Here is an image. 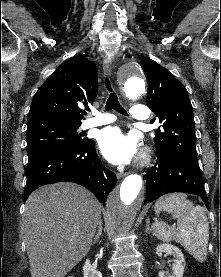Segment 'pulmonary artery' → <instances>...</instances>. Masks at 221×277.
Wrapping results in <instances>:
<instances>
[{
    "label": "pulmonary artery",
    "mask_w": 221,
    "mask_h": 277,
    "mask_svg": "<svg viewBox=\"0 0 221 277\" xmlns=\"http://www.w3.org/2000/svg\"><path fill=\"white\" fill-rule=\"evenodd\" d=\"M149 109L144 105H135L131 108L130 116L134 120L144 121L149 118ZM116 120L114 115L101 112H93V117L87 119L82 124L83 129H89L112 123Z\"/></svg>",
    "instance_id": "pulmonary-artery-1"
}]
</instances>
